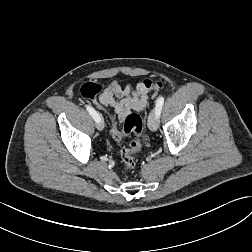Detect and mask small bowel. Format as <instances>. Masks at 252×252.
<instances>
[{
  "label": "small bowel",
  "mask_w": 252,
  "mask_h": 252,
  "mask_svg": "<svg viewBox=\"0 0 252 252\" xmlns=\"http://www.w3.org/2000/svg\"><path fill=\"white\" fill-rule=\"evenodd\" d=\"M147 90L139 83L124 88L117 81H112L100 94L99 103L111 108L118 120L124 122L132 112L143 111L146 106Z\"/></svg>",
  "instance_id": "obj_1"
}]
</instances>
